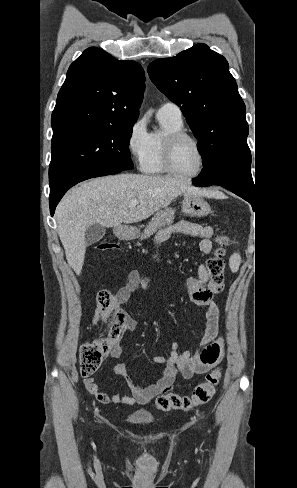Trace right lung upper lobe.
<instances>
[{"label": "right lung upper lobe", "mask_w": 297, "mask_h": 488, "mask_svg": "<svg viewBox=\"0 0 297 488\" xmlns=\"http://www.w3.org/2000/svg\"><path fill=\"white\" fill-rule=\"evenodd\" d=\"M143 91L140 64L90 47L68 69L51 117L53 135L82 127L133 125Z\"/></svg>", "instance_id": "right-lung-upper-lobe-1"}]
</instances>
